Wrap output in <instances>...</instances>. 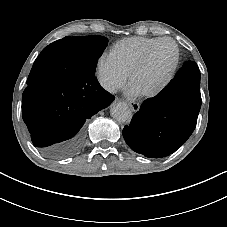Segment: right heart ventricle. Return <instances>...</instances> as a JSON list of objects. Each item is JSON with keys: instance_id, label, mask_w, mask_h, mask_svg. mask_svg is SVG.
<instances>
[{"instance_id": "right-heart-ventricle-1", "label": "right heart ventricle", "mask_w": 227, "mask_h": 227, "mask_svg": "<svg viewBox=\"0 0 227 227\" xmlns=\"http://www.w3.org/2000/svg\"><path fill=\"white\" fill-rule=\"evenodd\" d=\"M158 37H126L118 40L110 50V57L126 72L128 75L142 57L145 50L156 40Z\"/></svg>"}]
</instances>
